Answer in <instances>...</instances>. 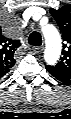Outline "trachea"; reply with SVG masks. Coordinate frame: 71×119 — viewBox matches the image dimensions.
I'll return each instance as SVG.
<instances>
[{"instance_id":"trachea-1","label":"trachea","mask_w":71,"mask_h":119,"mask_svg":"<svg viewBox=\"0 0 71 119\" xmlns=\"http://www.w3.org/2000/svg\"><path fill=\"white\" fill-rule=\"evenodd\" d=\"M28 43L34 46H40L42 44V38L40 33L34 31L29 35Z\"/></svg>"}]
</instances>
